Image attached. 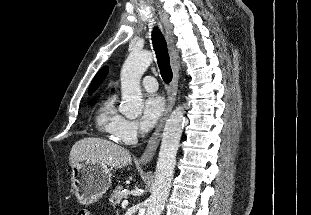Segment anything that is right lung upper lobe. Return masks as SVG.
Returning a JSON list of instances; mask_svg holds the SVG:
<instances>
[{
  "instance_id": "cb5924a9",
  "label": "right lung upper lobe",
  "mask_w": 311,
  "mask_h": 215,
  "mask_svg": "<svg viewBox=\"0 0 311 215\" xmlns=\"http://www.w3.org/2000/svg\"><path fill=\"white\" fill-rule=\"evenodd\" d=\"M108 73V67H103L99 72L95 75L90 87H89V94H92L96 88L101 84L103 79L106 77Z\"/></svg>"
}]
</instances>
